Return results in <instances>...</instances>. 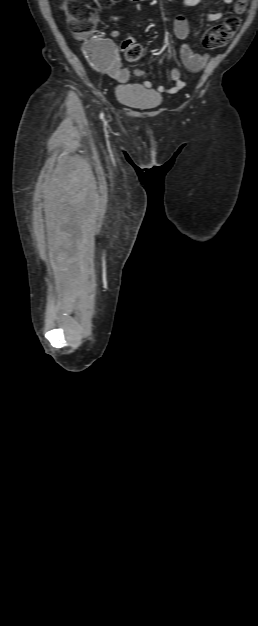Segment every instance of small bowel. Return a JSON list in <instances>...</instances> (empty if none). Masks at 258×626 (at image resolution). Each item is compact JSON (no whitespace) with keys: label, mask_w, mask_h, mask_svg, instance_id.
Segmentation results:
<instances>
[{"label":"small bowel","mask_w":258,"mask_h":626,"mask_svg":"<svg viewBox=\"0 0 258 626\" xmlns=\"http://www.w3.org/2000/svg\"><path fill=\"white\" fill-rule=\"evenodd\" d=\"M226 4H231L233 0H223ZM201 0H183V5L185 7H193L198 5ZM223 17V13L221 12H211L207 15L208 20L210 21H218ZM173 30L175 36L180 40L187 39L189 35V23L187 19L181 15L176 16L173 22ZM117 31H112V36H117ZM101 48L104 51L103 55L98 61V66L100 69L109 75L111 78L115 79L121 84H127L130 78V72L128 69L122 67L121 59L118 53L113 51L114 45L110 40H103L101 42ZM181 58L184 66L191 72L200 71L208 61L207 54H197L192 52V50L184 45L181 51ZM145 71L143 70H135L136 76H143ZM170 75L172 80L174 81L173 86L166 88L164 86H159L157 91L160 93H169L174 94L180 91L184 87V82L180 79V72L178 69L173 68L170 71ZM144 87L147 89L152 88V83L149 80L144 81Z\"/></svg>","instance_id":"1"}]
</instances>
